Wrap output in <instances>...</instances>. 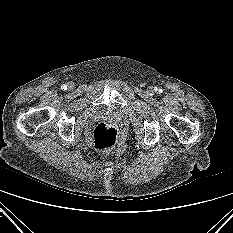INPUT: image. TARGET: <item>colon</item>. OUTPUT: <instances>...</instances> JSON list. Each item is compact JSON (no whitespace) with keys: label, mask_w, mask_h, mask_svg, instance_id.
<instances>
[{"label":"colon","mask_w":233,"mask_h":233,"mask_svg":"<svg viewBox=\"0 0 233 233\" xmlns=\"http://www.w3.org/2000/svg\"><path fill=\"white\" fill-rule=\"evenodd\" d=\"M92 141L99 150H111L118 142V131L109 124L99 123L93 130Z\"/></svg>","instance_id":"5ec220e1"}]
</instances>
